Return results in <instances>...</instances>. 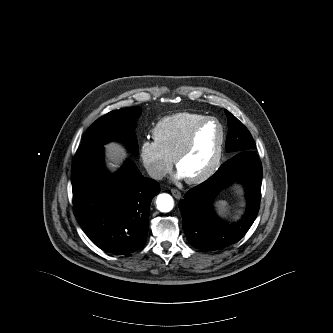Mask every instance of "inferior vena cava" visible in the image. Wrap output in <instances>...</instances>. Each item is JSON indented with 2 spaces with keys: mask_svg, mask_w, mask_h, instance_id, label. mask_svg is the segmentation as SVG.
Listing matches in <instances>:
<instances>
[{
  "mask_svg": "<svg viewBox=\"0 0 333 333\" xmlns=\"http://www.w3.org/2000/svg\"><path fill=\"white\" fill-rule=\"evenodd\" d=\"M147 172L150 177L156 180H162L166 175V172L158 166H150Z\"/></svg>",
  "mask_w": 333,
  "mask_h": 333,
  "instance_id": "obj_1",
  "label": "inferior vena cava"
}]
</instances>
